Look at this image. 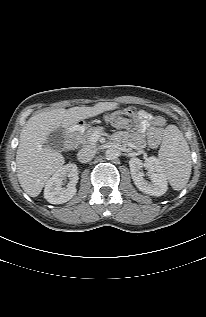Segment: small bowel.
<instances>
[{
    "instance_id": "1",
    "label": "small bowel",
    "mask_w": 206,
    "mask_h": 317,
    "mask_svg": "<svg viewBox=\"0 0 206 317\" xmlns=\"http://www.w3.org/2000/svg\"><path fill=\"white\" fill-rule=\"evenodd\" d=\"M137 120L138 124L131 134L122 132L117 137L128 140L129 145L134 148H142L147 137L149 146L157 148L166 126V120L162 116H153L144 110L137 113Z\"/></svg>"
}]
</instances>
